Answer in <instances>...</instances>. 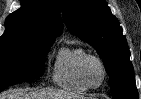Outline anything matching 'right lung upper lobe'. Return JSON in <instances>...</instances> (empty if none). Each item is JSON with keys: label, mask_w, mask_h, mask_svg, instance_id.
I'll return each mask as SVG.
<instances>
[{"label": "right lung upper lobe", "mask_w": 141, "mask_h": 99, "mask_svg": "<svg viewBox=\"0 0 141 99\" xmlns=\"http://www.w3.org/2000/svg\"><path fill=\"white\" fill-rule=\"evenodd\" d=\"M21 8L5 22L1 38H26L53 43L63 31L57 0H21Z\"/></svg>", "instance_id": "1"}]
</instances>
